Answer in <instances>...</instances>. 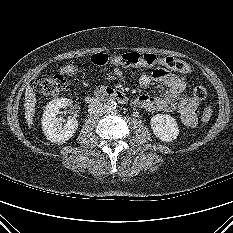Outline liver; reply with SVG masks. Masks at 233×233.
Returning a JSON list of instances; mask_svg holds the SVG:
<instances>
[{"label":"liver","instance_id":"liver-1","mask_svg":"<svg viewBox=\"0 0 233 233\" xmlns=\"http://www.w3.org/2000/svg\"><path fill=\"white\" fill-rule=\"evenodd\" d=\"M36 102H37L36 94L33 91L32 87L28 85L26 87V92H25L24 108H25V119L29 128H31L33 124Z\"/></svg>","mask_w":233,"mask_h":233}]
</instances>
